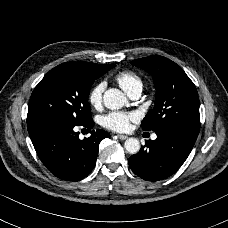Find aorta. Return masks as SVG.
Masks as SVG:
<instances>
[{
	"instance_id": "obj_1",
	"label": "aorta",
	"mask_w": 228,
	"mask_h": 228,
	"mask_svg": "<svg viewBox=\"0 0 228 228\" xmlns=\"http://www.w3.org/2000/svg\"><path fill=\"white\" fill-rule=\"evenodd\" d=\"M104 105L111 110L121 109L126 103L127 98L119 89L111 88L104 93ZM124 147L130 154H135L140 150V142L136 138H129L125 141Z\"/></svg>"
}]
</instances>
